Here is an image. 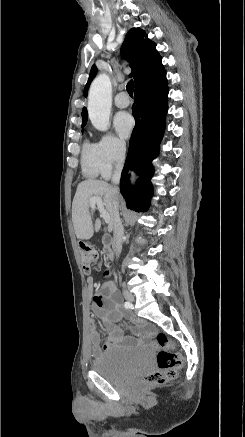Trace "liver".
I'll list each match as a JSON object with an SVG mask.
<instances>
[{
	"mask_svg": "<svg viewBox=\"0 0 245 437\" xmlns=\"http://www.w3.org/2000/svg\"><path fill=\"white\" fill-rule=\"evenodd\" d=\"M92 197H100L106 212L109 214L110 221L108 229H114V207L115 198L119 199V191L105 181L88 179L81 182L76 190L72 203V222L74 231L78 239H90L94 231L98 232L101 228V221L96 219L95 224L90 213L89 201Z\"/></svg>",
	"mask_w": 245,
	"mask_h": 437,
	"instance_id": "1",
	"label": "liver"
}]
</instances>
